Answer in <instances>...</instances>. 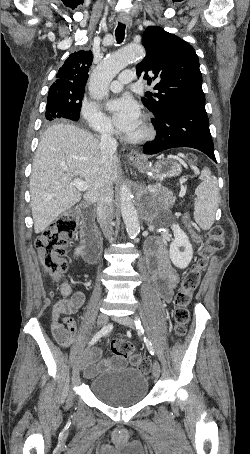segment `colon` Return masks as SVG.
<instances>
[{"mask_svg": "<svg viewBox=\"0 0 250 454\" xmlns=\"http://www.w3.org/2000/svg\"><path fill=\"white\" fill-rule=\"evenodd\" d=\"M190 160L195 157L190 155ZM78 216L74 211L63 213L54 221L35 242L44 273L58 280L68 268L65 259V246L72 240L77 231ZM224 231L220 226L210 229L205 243L203 244L196 265L189 269L182 277L179 288L174 296V321L176 334L181 337L186 333L190 321L189 305L194 290L197 288L202 272L208 266L210 259L224 247ZM111 350L114 355L128 358L132 364L143 372L151 368L149 359L142 358L134 353L132 345L125 340L112 341Z\"/></svg>", "mask_w": 250, "mask_h": 454, "instance_id": "colon-1", "label": "colon"}]
</instances>
